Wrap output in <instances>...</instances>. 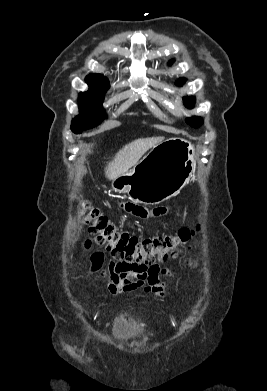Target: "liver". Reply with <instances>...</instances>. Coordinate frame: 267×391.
I'll use <instances>...</instances> for the list:
<instances>
[{"mask_svg": "<svg viewBox=\"0 0 267 391\" xmlns=\"http://www.w3.org/2000/svg\"><path fill=\"white\" fill-rule=\"evenodd\" d=\"M164 137L141 138L126 144L120 149L113 160L105 168V175L109 180H115L137 164L141 157L152 147L157 146Z\"/></svg>", "mask_w": 267, "mask_h": 391, "instance_id": "6515ba94", "label": "liver"}]
</instances>
